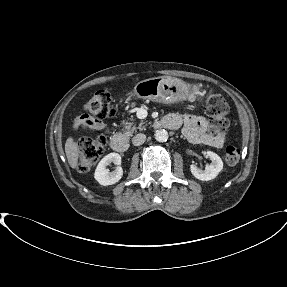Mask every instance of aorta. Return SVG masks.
I'll use <instances>...</instances> for the list:
<instances>
[{"instance_id":"aorta-1","label":"aorta","mask_w":287,"mask_h":287,"mask_svg":"<svg viewBox=\"0 0 287 287\" xmlns=\"http://www.w3.org/2000/svg\"><path fill=\"white\" fill-rule=\"evenodd\" d=\"M155 139L158 142H166L168 140V132L165 129H159L155 132Z\"/></svg>"}]
</instances>
